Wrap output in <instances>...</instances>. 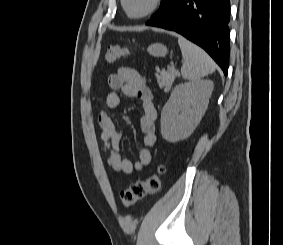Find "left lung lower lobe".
Here are the masks:
<instances>
[{
  "instance_id": "left-lung-lower-lobe-1",
  "label": "left lung lower lobe",
  "mask_w": 283,
  "mask_h": 245,
  "mask_svg": "<svg viewBox=\"0 0 283 245\" xmlns=\"http://www.w3.org/2000/svg\"><path fill=\"white\" fill-rule=\"evenodd\" d=\"M230 0H173L146 25L176 31L202 47L222 68L229 63Z\"/></svg>"
}]
</instances>
